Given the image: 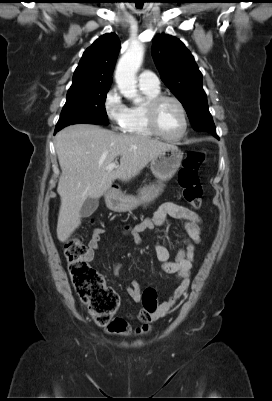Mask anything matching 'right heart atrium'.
I'll return each mask as SVG.
<instances>
[{"instance_id": "d8ad5b80", "label": "right heart atrium", "mask_w": 272, "mask_h": 401, "mask_svg": "<svg viewBox=\"0 0 272 401\" xmlns=\"http://www.w3.org/2000/svg\"><path fill=\"white\" fill-rule=\"evenodd\" d=\"M103 108L112 126L122 130L127 119L128 107L116 87L111 88L105 94Z\"/></svg>"}]
</instances>
